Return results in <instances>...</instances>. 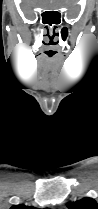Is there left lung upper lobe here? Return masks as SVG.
Returning <instances> with one entry per match:
<instances>
[{"label":"left lung upper lobe","mask_w":98,"mask_h":209,"mask_svg":"<svg viewBox=\"0 0 98 209\" xmlns=\"http://www.w3.org/2000/svg\"><path fill=\"white\" fill-rule=\"evenodd\" d=\"M66 205L69 209H98V204L92 198H83L80 201L68 202Z\"/></svg>","instance_id":"obj_1"}]
</instances>
